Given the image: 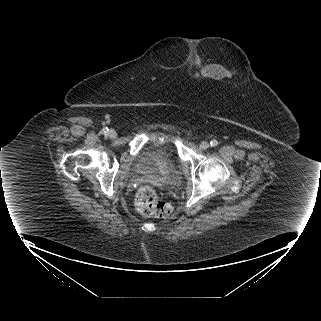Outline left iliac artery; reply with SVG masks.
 <instances>
[{"instance_id":"44dca946","label":"left iliac artery","mask_w":321,"mask_h":321,"mask_svg":"<svg viewBox=\"0 0 321 321\" xmlns=\"http://www.w3.org/2000/svg\"><path fill=\"white\" fill-rule=\"evenodd\" d=\"M210 145H211L212 147H216V146L218 145V141L215 140V139H213V140L210 142Z\"/></svg>"}]
</instances>
